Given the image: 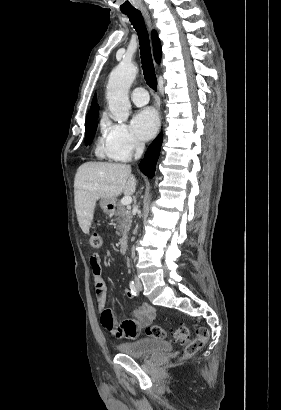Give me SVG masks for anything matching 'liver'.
Returning a JSON list of instances; mask_svg holds the SVG:
<instances>
[{
	"instance_id": "obj_1",
	"label": "liver",
	"mask_w": 281,
	"mask_h": 410,
	"mask_svg": "<svg viewBox=\"0 0 281 410\" xmlns=\"http://www.w3.org/2000/svg\"><path fill=\"white\" fill-rule=\"evenodd\" d=\"M137 181L126 164L86 162L77 170L74 180L75 210L79 226L88 234L96 202L99 199L114 200L120 194L131 196Z\"/></svg>"
}]
</instances>
